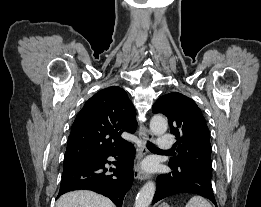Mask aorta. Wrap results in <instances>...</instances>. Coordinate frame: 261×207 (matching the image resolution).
Here are the masks:
<instances>
[{"mask_svg": "<svg viewBox=\"0 0 261 207\" xmlns=\"http://www.w3.org/2000/svg\"><path fill=\"white\" fill-rule=\"evenodd\" d=\"M168 122L160 116L155 115L150 121V130L154 135H162L167 131ZM156 185L154 182H147L140 190L135 201V207H149L155 194Z\"/></svg>", "mask_w": 261, "mask_h": 207, "instance_id": "obj_1", "label": "aorta"}]
</instances>
